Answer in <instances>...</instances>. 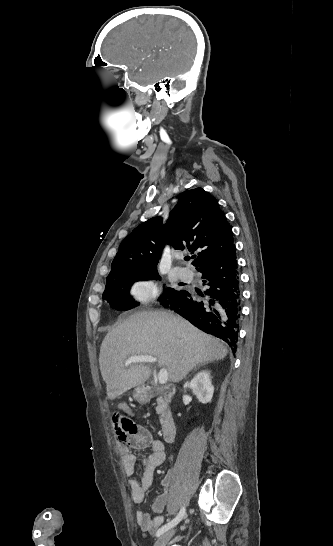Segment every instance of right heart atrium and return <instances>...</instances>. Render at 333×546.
I'll list each match as a JSON object with an SVG mask.
<instances>
[{"label":"right heart atrium","instance_id":"d8ad5b80","mask_svg":"<svg viewBox=\"0 0 333 546\" xmlns=\"http://www.w3.org/2000/svg\"><path fill=\"white\" fill-rule=\"evenodd\" d=\"M128 295L131 303L136 305L154 303L159 298L160 288L154 280L139 279L130 286Z\"/></svg>","mask_w":333,"mask_h":546}]
</instances>
